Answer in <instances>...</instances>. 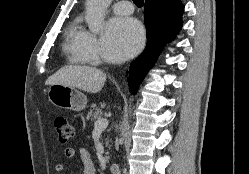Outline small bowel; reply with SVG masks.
<instances>
[{"instance_id":"1","label":"small bowel","mask_w":249,"mask_h":174,"mask_svg":"<svg viewBox=\"0 0 249 174\" xmlns=\"http://www.w3.org/2000/svg\"><path fill=\"white\" fill-rule=\"evenodd\" d=\"M77 154L79 155L83 165V174H96L95 164L86 149L70 147L65 150V156L68 159L74 158ZM64 169L65 167L63 164H57L55 167L56 172L59 174L63 173Z\"/></svg>"}]
</instances>
